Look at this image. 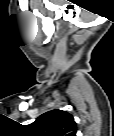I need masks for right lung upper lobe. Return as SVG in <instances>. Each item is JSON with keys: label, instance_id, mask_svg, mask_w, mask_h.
<instances>
[{"label": "right lung upper lobe", "instance_id": "cb5924a9", "mask_svg": "<svg viewBox=\"0 0 114 136\" xmlns=\"http://www.w3.org/2000/svg\"><path fill=\"white\" fill-rule=\"evenodd\" d=\"M28 129L34 136H76L77 132L72 114L59 109L42 114Z\"/></svg>", "mask_w": 114, "mask_h": 136}]
</instances>
